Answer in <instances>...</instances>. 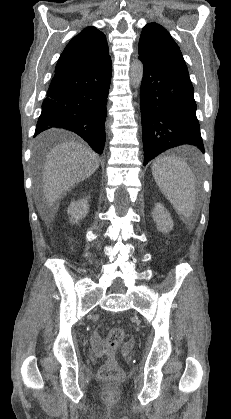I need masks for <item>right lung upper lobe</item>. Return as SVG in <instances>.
<instances>
[{"mask_svg": "<svg viewBox=\"0 0 231 419\" xmlns=\"http://www.w3.org/2000/svg\"><path fill=\"white\" fill-rule=\"evenodd\" d=\"M111 61L105 35L87 27L73 37L63 50L55 72L96 68Z\"/></svg>", "mask_w": 231, "mask_h": 419, "instance_id": "cb5924a9", "label": "right lung upper lobe"}]
</instances>
